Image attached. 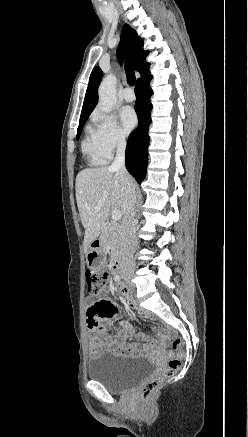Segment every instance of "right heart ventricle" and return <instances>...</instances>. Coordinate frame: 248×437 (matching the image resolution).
Returning <instances> with one entry per match:
<instances>
[{
	"label": "right heart ventricle",
	"instance_id": "right-heart-ventricle-1",
	"mask_svg": "<svg viewBox=\"0 0 248 437\" xmlns=\"http://www.w3.org/2000/svg\"><path fill=\"white\" fill-rule=\"evenodd\" d=\"M82 151L91 165H102L108 160L101 152L94 136L93 127L91 126L86 127L85 137L82 141Z\"/></svg>",
	"mask_w": 248,
	"mask_h": 437
}]
</instances>
